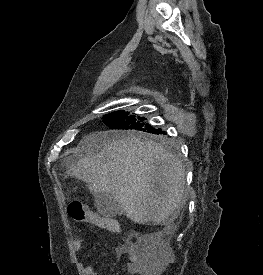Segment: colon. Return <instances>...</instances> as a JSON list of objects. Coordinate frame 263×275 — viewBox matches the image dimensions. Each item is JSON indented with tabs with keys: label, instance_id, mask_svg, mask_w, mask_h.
I'll list each match as a JSON object with an SVG mask.
<instances>
[{
	"label": "colon",
	"instance_id": "obj_1",
	"mask_svg": "<svg viewBox=\"0 0 263 275\" xmlns=\"http://www.w3.org/2000/svg\"><path fill=\"white\" fill-rule=\"evenodd\" d=\"M69 216L77 222L102 223L105 229L112 233H120L121 226L116 221H107L88 210L82 203L73 202L68 206ZM164 263V250L152 247L147 255V275H155Z\"/></svg>",
	"mask_w": 263,
	"mask_h": 275
}]
</instances>
